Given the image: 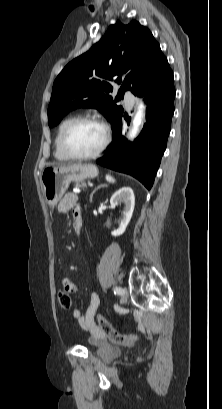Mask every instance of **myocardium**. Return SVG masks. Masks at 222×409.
<instances>
[{
	"mask_svg": "<svg viewBox=\"0 0 222 409\" xmlns=\"http://www.w3.org/2000/svg\"><path fill=\"white\" fill-rule=\"evenodd\" d=\"M86 123H94L100 125L103 130H104V140L100 148L92 153V154H86V155H78L69 149L68 146V139L71 133L80 125L86 124ZM111 140V130L108 124L101 118L97 116H86V117H81L77 120H75L73 123H71L66 130L64 131L61 139V148L63 153L72 160H91L99 157L108 147L109 143Z\"/></svg>",
	"mask_w": 222,
	"mask_h": 409,
	"instance_id": "f54148a6",
	"label": "myocardium"
}]
</instances>
